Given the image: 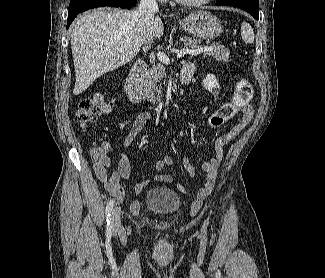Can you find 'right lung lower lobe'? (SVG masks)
<instances>
[{"mask_svg": "<svg viewBox=\"0 0 325 278\" xmlns=\"http://www.w3.org/2000/svg\"><path fill=\"white\" fill-rule=\"evenodd\" d=\"M137 0H71L68 10L67 28L74 18L81 12L91 8L111 6L127 8L136 3Z\"/></svg>", "mask_w": 325, "mask_h": 278, "instance_id": "98d812e1", "label": "right lung lower lobe"}]
</instances>
